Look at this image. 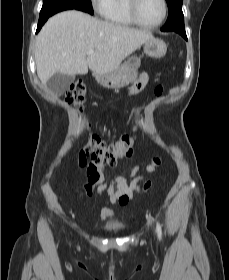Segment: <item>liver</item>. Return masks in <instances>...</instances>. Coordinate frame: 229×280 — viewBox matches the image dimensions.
I'll return each instance as SVG.
<instances>
[{
  "label": "liver",
  "mask_w": 229,
  "mask_h": 280,
  "mask_svg": "<svg viewBox=\"0 0 229 280\" xmlns=\"http://www.w3.org/2000/svg\"><path fill=\"white\" fill-rule=\"evenodd\" d=\"M149 31L100 20L80 11L51 17L36 38L35 61L43 85L55 74L85 75L117 69L144 42ZM90 50L94 54L87 55Z\"/></svg>",
  "instance_id": "obj_1"
}]
</instances>
